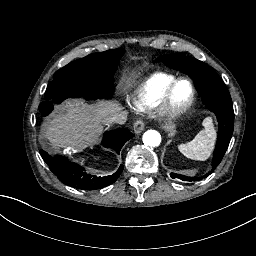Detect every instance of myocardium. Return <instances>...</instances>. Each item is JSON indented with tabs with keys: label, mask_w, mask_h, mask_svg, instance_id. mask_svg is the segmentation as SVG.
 <instances>
[{
	"label": "myocardium",
	"mask_w": 256,
	"mask_h": 256,
	"mask_svg": "<svg viewBox=\"0 0 256 256\" xmlns=\"http://www.w3.org/2000/svg\"><path fill=\"white\" fill-rule=\"evenodd\" d=\"M181 83H187L190 87V99L189 101L180 106H175L173 99L176 92L177 87ZM195 89L192 82L187 78H181L176 80L167 93L163 96V98L158 103H151L152 108L150 111H155L158 115L162 116L167 123H173L176 119H178L181 115L185 114L191 107L194 105L195 102Z\"/></svg>",
	"instance_id": "myocardium-1"
}]
</instances>
